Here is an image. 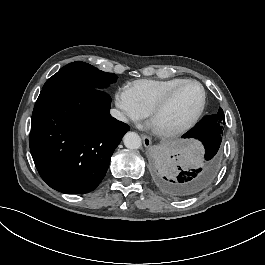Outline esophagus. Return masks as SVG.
Listing matches in <instances>:
<instances>
[{
	"instance_id": "1",
	"label": "esophagus",
	"mask_w": 265,
	"mask_h": 265,
	"mask_svg": "<svg viewBox=\"0 0 265 265\" xmlns=\"http://www.w3.org/2000/svg\"><path fill=\"white\" fill-rule=\"evenodd\" d=\"M142 140H143V144L145 147H149L151 145V139L149 136L145 135V134H141Z\"/></svg>"
}]
</instances>
